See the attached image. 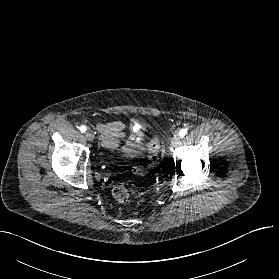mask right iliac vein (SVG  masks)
<instances>
[{
	"label": "right iliac vein",
	"mask_w": 279,
	"mask_h": 279,
	"mask_svg": "<svg viewBox=\"0 0 279 279\" xmlns=\"http://www.w3.org/2000/svg\"><path fill=\"white\" fill-rule=\"evenodd\" d=\"M85 136L86 138L89 140V141H92L94 139V133L91 131V130H88L86 133H85Z\"/></svg>",
	"instance_id": "obj_1"
}]
</instances>
